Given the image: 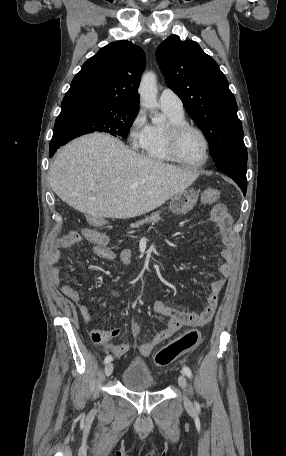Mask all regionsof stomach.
<instances>
[{
  "mask_svg": "<svg viewBox=\"0 0 286 456\" xmlns=\"http://www.w3.org/2000/svg\"><path fill=\"white\" fill-rule=\"evenodd\" d=\"M198 197L199 194L195 190H184L171 199L169 209L177 215L186 214L195 206Z\"/></svg>",
  "mask_w": 286,
  "mask_h": 456,
  "instance_id": "1",
  "label": "stomach"
}]
</instances>
